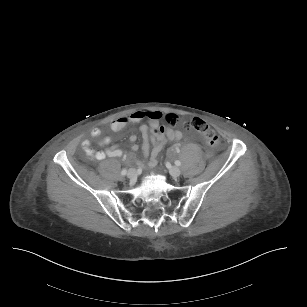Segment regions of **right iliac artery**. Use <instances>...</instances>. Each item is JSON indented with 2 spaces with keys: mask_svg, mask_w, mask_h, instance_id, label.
Segmentation results:
<instances>
[{
  "mask_svg": "<svg viewBox=\"0 0 307 307\" xmlns=\"http://www.w3.org/2000/svg\"><path fill=\"white\" fill-rule=\"evenodd\" d=\"M126 173H127V170L126 169H122V171H121V175H126Z\"/></svg>",
  "mask_w": 307,
  "mask_h": 307,
  "instance_id": "82829eb1",
  "label": "right iliac artery"
}]
</instances>
